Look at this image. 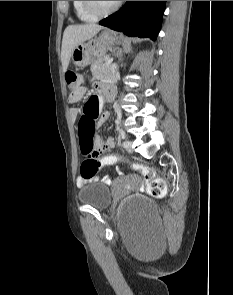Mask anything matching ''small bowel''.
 <instances>
[{
	"label": "small bowel",
	"instance_id": "1",
	"mask_svg": "<svg viewBox=\"0 0 233 295\" xmlns=\"http://www.w3.org/2000/svg\"><path fill=\"white\" fill-rule=\"evenodd\" d=\"M83 93L82 95L76 97V98H70L69 97V102L72 104L78 103L81 101L84 97ZM70 114L72 118H77L78 115L80 114V109L78 107H72L70 109ZM83 115H89L92 117L94 120L95 124H101L103 123L107 118H108V113L107 112H101V103L99 101V98L97 96L91 97L87 103L85 104L84 110H83ZM97 146L99 151L103 152L106 150H109L114 147V142L113 139L109 136H106L103 139H97ZM96 180V178H94ZM103 181L107 184L110 183V178L105 176L103 178ZM88 182V179H84L82 177H79L77 179V186L82 187L85 183Z\"/></svg>",
	"mask_w": 233,
	"mask_h": 295
}]
</instances>
